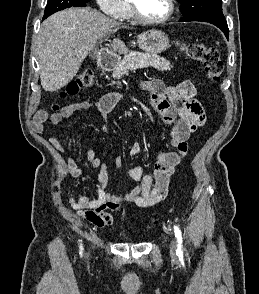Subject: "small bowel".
I'll use <instances>...</instances> for the list:
<instances>
[{"label":"small bowel","instance_id":"small-bowel-1","mask_svg":"<svg viewBox=\"0 0 259 294\" xmlns=\"http://www.w3.org/2000/svg\"><path fill=\"white\" fill-rule=\"evenodd\" d=\"M140 88L150 93L151 102L161 114L164 124L172 132L171 144L177 148L176 152L160 151L155 163L154 176L145 174L142 166H136L128 171L129 177L139 186L131 189L126 195H113L107 191L109 183L108 165L101 161L93 149L87 152V160L90 165L98 169L96 178V197L81 196L75 198L72 195L68 201L77 213L96 227L110 226L114 218L110 211L122 213L125 203H133L138 207H151L164 200L168 193L169 178L175 167L180 164L187 154V140L192 133L205 125L207 115L202 104L197 99V91L189 80H184L174 86H166L159 79H151L143 82ZM122 94L110 92L102 96L96 102L80 101L63 106L53 105L49 113L40 110L34 116L32 127L38 133L49 130V125H57L63 119L69 118L80 110L95 107L103 116L112 112ZM107 130V126H104ZM51 143L58 150H63L62 142L54 135L50 137ZM140 146L134 144L129 148L130 156H137ZM70 175L81 178L87 171L79 168L73 158L68 161Z\"/></svg>","mask_w":259,"mask_h":294}]
</instances>
